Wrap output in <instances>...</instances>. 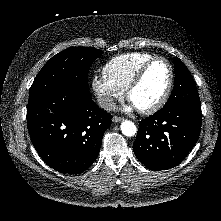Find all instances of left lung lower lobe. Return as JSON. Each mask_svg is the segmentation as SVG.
<instances>
[{"instance_id":"0a47b994","label":"left lung lower lobe","mask_w":221,"mask_h":221,"mask_svg":"<svg viewBox=\"0 0 221 221\" xmlns=\"http://www.w3.org/2000/svg\"><path fill=\"white\" fill-rule=\"evenodd\" d=\"M201 124V107L187 104L163 107L139 122L133 151L151 170L175 167L194 147Z\"/></svg>"}]
</instances>
